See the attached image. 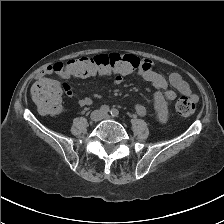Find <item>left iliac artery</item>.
<instances>
[{"label":"left iliac artery","instance_id":"1","mask_svg":"<svg viewBox=\"0 0 224 224\" xmlns=\"http://www.w3.org/2000/svg\"><path fill=\"white\" fill-rule=\"evenodd\" d=\"M111 115L113 117H117L119 115V111L115 108H113L111 111H110Z\"/></svg>","mask_w":224,"mask_h":224}]
</instances>
